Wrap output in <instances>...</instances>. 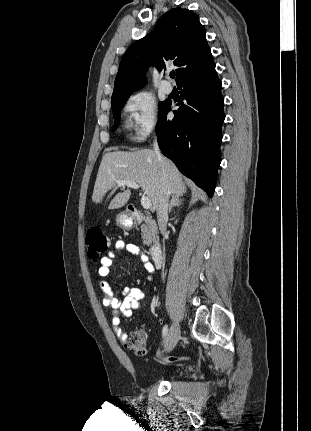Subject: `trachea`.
Returning <instances> with one entry per match:
<instances>
[{
  "instance_id": "1",
  "label": "trachea",
  "mask_w": 311,
  "mask_h": 431,
  "mask_svg": "<svg viewBox=\"0 0 311 431\" xmlns=\"http://www.w3.org/2000/svg\"><path fill=\"white\" fill-rule=\"evenodd\" d=\"M170 77H171V78H174V77H175V72H171V73H170Z\"/></svg>"
}]
</instances>
